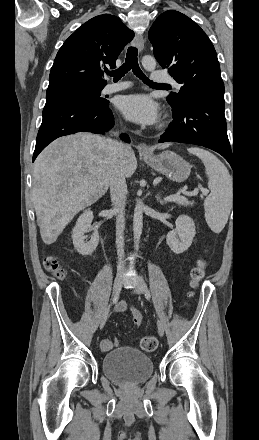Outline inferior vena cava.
Instances as JSON below:
<instances>
[{
	"label": "inferior vena cava",
	"mask_w": 259,
	"mask_h": 440,
	"mask_svg": "<svg viewBox=\"0 0 259 440\" xmlns=\"http://www.w3.org/2000/svg\"><path fill=\"white\" fill-rule=\"evenodd\" d=\"M113 164L110 170L109 185L111 200L116 215V248L118 255V270L124 269V229H125V201L127 186L123 173V158L126 145L118 141L111 142Z\"/></svg>",
	"instance_id": "obj_1"
}]
</instances>
